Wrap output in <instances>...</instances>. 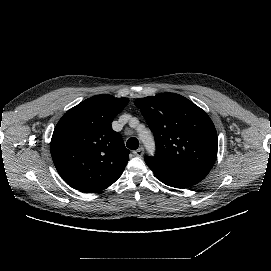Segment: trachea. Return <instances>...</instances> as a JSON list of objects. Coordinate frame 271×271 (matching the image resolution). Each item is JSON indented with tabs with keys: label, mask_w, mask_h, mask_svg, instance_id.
I'll return each mask as SVG.
<instances>
[{
	"label": "trachea",
	"mask_w": 271,
	"mask_h": 271,
	"mask_svg": "<svg viewBox=\"0 0 271 271\" xmlns=\"http://www.w3.org/2000/svg\"><path fill=\"white\" fill-rule=\"evenodd\" d=\"M126 146L131 150H136L139 147V141L136 138H130L126 142Z\"/></svg>",
	"instance_id": "3493384b"
}]
</instances>
